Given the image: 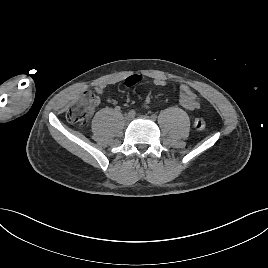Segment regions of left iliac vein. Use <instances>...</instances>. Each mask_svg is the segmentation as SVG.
<instances>
[{"instance_id":"1","label":"left iliac vein","mask_w":268,"mask_h":268,"mask_svg":"<svg viewBox=\"0 0 268 268\" xmlns=\"http://www.w3.org/2000/svg\"><path fill=\"white\" fill-rule=\"evenodd\" d=\"M140 118H144V119H152V117H149L147 115H141Z\"/></svg>"}]
</instances>
